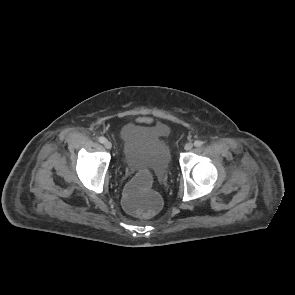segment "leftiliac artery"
<instances>
[{"instance_id":"obj_1","label":"left iliac artery","mask_w":295,"mask_h":295,"mask_svg":"<svg viewBox=\"0 0 295 295\" xmlns=\"http://www.w3.org/2000/svg\"><path fill=\"white\" fill-rule=\"evenodd\" d=\"M194 146H195V147H200V146H202V142H201L200 140H196V141L194 142Z\"/></svg>"}]
</instances>
